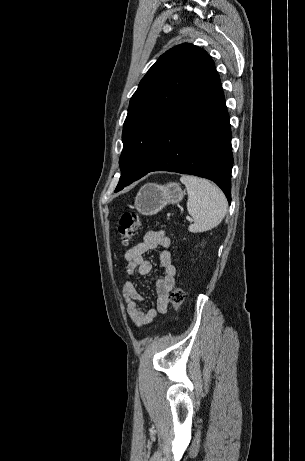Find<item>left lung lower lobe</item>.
Wrapping results in <instances>:
<instances>
[{
  "label": "left lung lower lobe",
  "mask_w": 305,
  "mask_h": 461,
  "mask_svg": "<svg viewBox=\"0 0 305 461\" xmlns=\"http://www.w3.org/2000/svg\"><path fill=\"white\" fill-rule=\"evenodd\" d=\"M232 164L229 115L213 65L163 127L144 175L172 171L204 177L215 182L230 203Z\"/></svg>",
  "instance_id": "left-lung-lower-lobe-1"
}]
</instances>
